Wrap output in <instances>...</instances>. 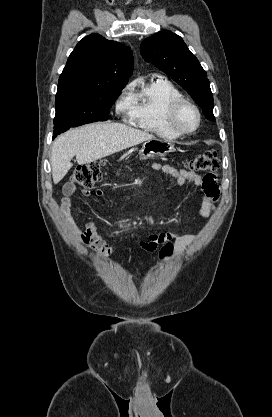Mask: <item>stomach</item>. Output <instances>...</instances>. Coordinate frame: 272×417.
<instances>
[{"label":"stomach","mask_w":272,"mask_h":417,"mask_svg":"<svg viewBox=\"0 0 272 417\" xmlns=\"http://www.w3.org/2000/svg\"><path fill=\"white\" fill-rule=\"evenodd\" d=\"M175 150L174 146L162 139H151L146 141L139 150V159L147 160L163 156Z\"/></svg>","instance_id":"0dacf381"}]
</instances>
